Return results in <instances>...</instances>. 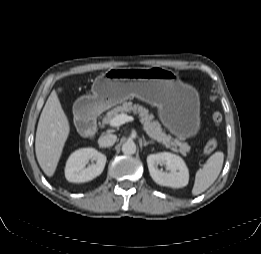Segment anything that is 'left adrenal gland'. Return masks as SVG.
I'll return each mask as SVG.
<instances>
[{"mask_svg":"<svg viewBox=\"0 0 261 254\" xmlns=\"http://www.w3.org/2000/svg\"><path fill=\"white\" fill-rule=\"evenodd\" d=\"M154 142L153 141H146L144 138H143V146H147L148 144H153Z\"/></svg>","mask_w":261,"mask_h":254,"instance_id":"a2214340","label":"left adrenal gland"}]
</instances>
